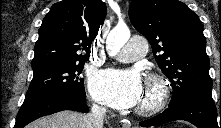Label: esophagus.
<instances>
[{
  "mask_svg": "<svg viewBox=\"0 0 221 128\" xmlns=\"http://www.w3.org/2000/svg\"><path fill=\"white\" fill-rule=\"evenodd\" d=\"M121 126H122L123 128H130L129 123H127V122L122 123Z\"/></svg>",
  "mask_w": 221,
  "mask_h": 128,
  "instance_id": "1",
  "label": "esophagus"
}]
</instances>
